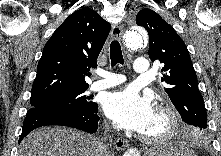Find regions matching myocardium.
Listing matches in <instances>:
<instances>
[{"label":"myocardium","mask_w":221,"mask_h":156,"mask_svg":"<svg viewBox=\"0 0 221 156\" xmlns=\"http://www.w3.org/2000/svg\"><path fill=\"white\" fill-rule=\"evenodd\" d=\"M156 111L162 114L166 120L165 129L153 135L142 134L141 140L148 144H158L171 139L179 128V116L177 111L168 103H160Z\"/></svg>","instance_id":"obj_1"}]
</instances>
